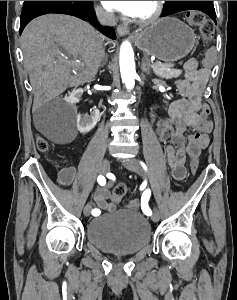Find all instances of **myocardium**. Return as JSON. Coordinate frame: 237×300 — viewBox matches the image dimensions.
I'll list each match as a JSON object with an SVG mask.
<instances>
[{
  "mask_svg": "<svg viewBox=\"0 0 237 300\" xmlns=\"http://www.w3.org/2000/svg\"><path fill=\"white\" fill-rule=\"evenodd\" d=\"M153 8L149 15L141 18H134L132 21L140 26H147L157 21L162 15L164 1H153Z\"/></svg>",
  "mask_w": 237,
  "mask_h": 300,
  "instance_id": "f54148a6",
  "label": "myocardium"
}]
</instances>
